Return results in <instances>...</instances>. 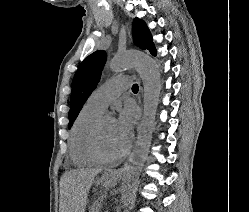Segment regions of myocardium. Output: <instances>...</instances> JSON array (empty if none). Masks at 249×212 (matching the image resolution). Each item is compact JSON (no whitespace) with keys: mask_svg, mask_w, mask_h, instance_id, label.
Listing matches in <instances>:
<instances>
[{"mask_svg":"<svg viewBox=\"0 0 249 212\" xmlns=\"http://www.w3.org/2000/svg\"><path fill=\"white\" fill-rule=\"evenodd\" d=\"M104 117H99L93 124L89 134V149L92 156L99 162L105 164L115 163L120 161L124 156L125 152H122L116 156H108L104 154L99 146V130Z\"/></svg>","mask_w":249,"mask_h":212,"instance_id":"1","label":"myocardium"}]
</instances>
